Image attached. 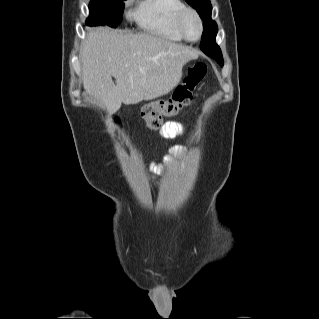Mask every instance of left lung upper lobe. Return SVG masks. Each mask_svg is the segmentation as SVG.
I'll return each mask as SVG.
<instances>
[{"label":"left lung upper lobe","instance_id":"left-lung-upper-lobe-1","mask_svg":"<svg viewBox=\"0 0 319 319\" xmlns=\"http://www.w3.org/2000/svg\"><path fill=\"white\" fill-rule=\"evenodd\" d=\"M194 9L197 10L201 19L203 20L204 31L202 33V41L200 48H207L205 44H210L212 53L216 55L213 57L221 66H223L222 53L219 46L215 43V38L218 32V27L215 21L211 19L212 6L210 0H185ZM208 40H210L209 43Z\"/></svg>","mask_w":319,"mask_h":319}]
</instances>
